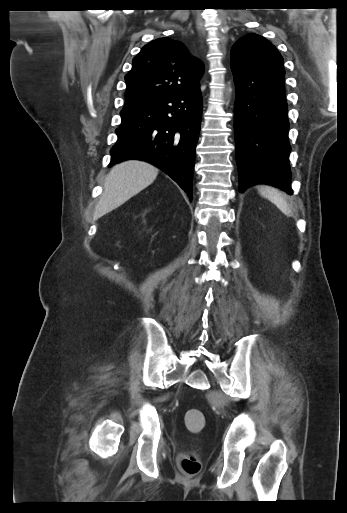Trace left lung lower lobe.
Here are the masks:
<instances>
[{
	"label": "left lung lower lobe",
	"mask_w": 347,
	"mask_h": 513,
	"mask_svg": "<svg viewBox=\"0 0 347 513\" xmlns=\"http://www.w3.org/2000/svg\"><path fill=\"white\" fill-rule=\"evenodd\" d=\"M236 84L235 143L240 192L257 183L292 194L284 74L231 66Z\"/></svg>",
	"instance_id": "obj_1"
}]
</instances>
